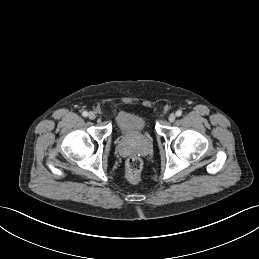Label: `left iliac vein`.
Wrapping results in <instances>:
<instances>
[{"mask_svg": "<svg viewBox=\"0 0 259 259\" xmlns=\"http://www.w3.org/2000/svg\"><path fill=\"white\" fill-rule=\"evenodd\" d=\"M175 119H176V115H175L174 113H171V114L168 116V120H169L170 122H174Z\"/></svg>", "mask_w": 259, "mask_h": 259, "instance_id": "left-iliac-vein-1", "label": "left iliac vein"}]
</instances>
